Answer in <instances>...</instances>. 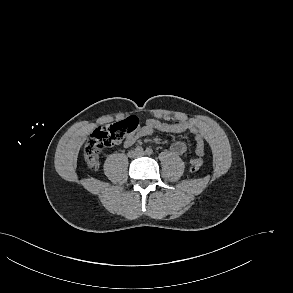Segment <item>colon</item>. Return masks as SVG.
Here are the masks:
<instances>
[{"instance_id":"5ec220e1","label":"colon","mask_w":293,"mask_h":293,"mask_svg":"<svg viewBox=\"0 0 293 293\" xmlns=\"http://www.w3.org/2000/svg\"><path fill=\"white\" fill-rule=\"evenodd\" d=\"M136 127L137 120L130 117L123 122L95 129L83 149V156L86 165L90 169H96L99 165V155L101 150L118 144L126 135L134 131ZM201 164L202 161L193 163L190 169L191 172L196 173Z\"/></svg>"}]
</instances>
